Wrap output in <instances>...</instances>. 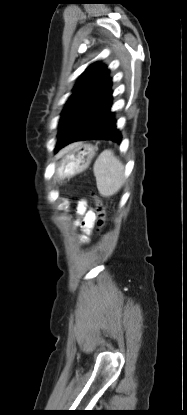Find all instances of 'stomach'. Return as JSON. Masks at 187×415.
Listing matches in <instances>:
<instances>
[{"mask_svg": "<svg viewBox=\"0 0 187 415\" xmlns=\"http://www.w3.org/2000/svg\"><path fill=\"white\" fill-rule=\"evenodd\" d=\"M96 155L95 147L91 144L76 143L69 147L57 168L60 179L69 178L87 169Z\"/></svg>", "mask_w": 187, "mask_h": 415, "instance_id": "0dacf381", "label": "stomach"}]
</instances>
